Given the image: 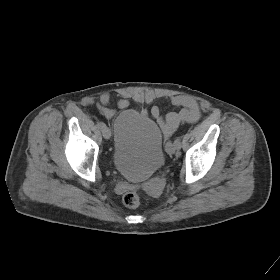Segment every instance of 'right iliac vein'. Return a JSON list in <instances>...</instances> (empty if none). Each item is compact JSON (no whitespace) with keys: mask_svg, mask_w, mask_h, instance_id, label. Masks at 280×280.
Listing matches in <instances>:
<instances>
[{"mask_svg":"<svg viewBox=\"0 0 280 280\" xmlns=\"http://www.w3.org/2000/svg\"><path fill=\"white\" fill-rule=\"evenodd\" d=\"M101 131H102V135L105 139H109L111 137V131L108 127L105 126L104 128H102Z\"/></svg>","mask_w":280,"mask_h":280,"instance_id":"63e3f726","label":"right iliac vein"}]
</instances>
